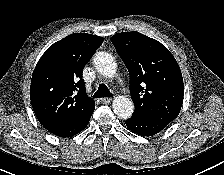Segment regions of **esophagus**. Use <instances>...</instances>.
Here are the masks:
<instances>
[{
  "label": "esophagus",
  "instance_id": "obj_1",
  "mask_svg": "<svg viewBox=\"0 0 224 175\" xmlns=\"http://www.w3.org/2000/svg\"><path fill=\"white\" fill-rule=\"evenodd\" d=\"M111 101H112V98H110V97H105V98L101 99V102L103 104H109Z\"/></svg>",
  "mask_w": 224,
  "mask_h": 175
}]
</instances>
